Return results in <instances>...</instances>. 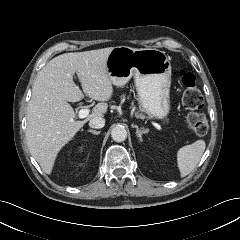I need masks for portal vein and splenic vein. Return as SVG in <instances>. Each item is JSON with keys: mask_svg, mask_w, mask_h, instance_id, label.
Masks as SVG:
<instances>
[{"mask_svg": "<svg viewBox=\"0 0 240 240\" xmlns=\"http://www.w3.org/2000/svg\"><path fill=\"white\" fill-rule=\"evenodd\" d=\"M89 115V109L88 108H82L78 112V117L80 119L86 118ZM153 126L156 127L158 130H162V127L160 124L156 122H152Z\"/></svg>", "mask_w": 240, "mask_h": 240, "instance_id": "1", "label": "portal vein and splenic vein"}]
</instances>
